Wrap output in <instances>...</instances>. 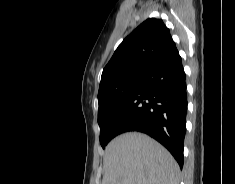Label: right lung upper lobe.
Instances as JSON below:
<instances>
[{
	"mask_svg": "<svg viewBox=\"0 0 235 184\" xmlns=\"http://www.w3.org/2000/svg\"><path fill=\"white\" fill-rule=\"evenodd\" d=\"M177 51L170 31L162 20H145L123 40L105 66L98 102L107 90L132 79H143Z\"/></svg>",
	"mask_w": 235,
	"mask_h": 184,
	"instance_id": "right-lung-upper-lobe-1",
	"label": "right lung upper lobe"
}]
</instances>
